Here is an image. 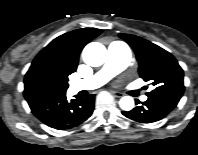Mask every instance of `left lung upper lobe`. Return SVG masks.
<instances>
[{
    "instance_id": "1",
    "label": "left lung upper lobe",
    "mask_w": 198,
    "mask_h": 155,
    "mask_svg": "<svg viewBox=\"0 0 198 155\" xmlns=\"http://www.w3.org/2000/svg\"><path fill=\"white\" fill-rule=\"evenodd\" d=\"M119 37L133 48L140 77L154 86L147 93L148 97H182L185 89L183 70L169 52L135 35L119 34Z\"/></svg>"
}]
</instances>
